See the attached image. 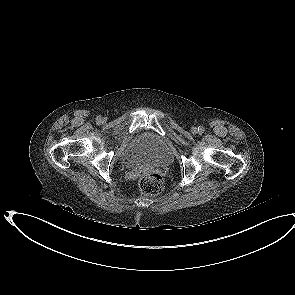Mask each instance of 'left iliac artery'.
Wrapping results in <instances>:
<instances>
[{"label":"left iliac artery","mask_w":295,"mask_h":295,"mask_svg":"<svg viewBox=\"0 0 295 295\" xmlns=\"http://www.w3.org/2000/svg\"><path fill=\"white\" fill-rule=\"evenodd\" d=\"M198 132H199L200 134H202V133L204 132V127H203V126H199V127H198Z\"/></svg>","instance_id":"44dca946"}]
</instances>
